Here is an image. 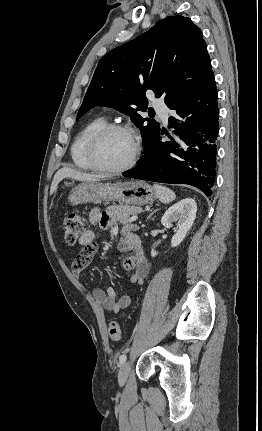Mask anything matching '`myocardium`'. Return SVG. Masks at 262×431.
Here are the masks:
<instances>
[{"instance_id":"1","label":"myocardium","mask_w":262,"mask_h":431,"mask_svg":"<svg viewBox=\"0 0 262 431\" xmlns=\"http://www.w3.org/2000/svg\"><path fill=\"white\" fill-rule=\"evenodd\" d=\"M113 132H124L130 135L134 141V150L131 158L126 164L120 167H109L105 165L100 158L101 143L106 136ZM141 150L142 146L140 139L131 127L124 124L112 123L104 126L92 136L88 146V159L98 171L107 174H120L135 166L141 154Z\"/></svg>"}]
</instances>
